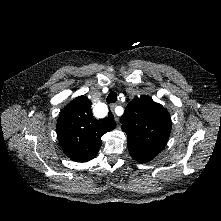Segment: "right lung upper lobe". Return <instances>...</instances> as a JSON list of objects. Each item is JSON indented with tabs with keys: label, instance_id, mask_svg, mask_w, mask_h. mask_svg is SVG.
<instances>
[{
	"label": "right lung upper lobe",
	"instance_id": "1",
	"mask_svg": "<svg viewBox=\"0 0 221 221\" xmlns=\"http://www.w3.org/2000/svg\"><path fill=\"white\" fill-rule=\"evenodd\" d=\"M115 127L111 118L95 119L90 100L79 96L61 111L56 130L65 155L76 162H87L97 155L102 135Z\"/></svg>",
	"mask_w": 221,
	"mask_h": 221
}]
</instances>
